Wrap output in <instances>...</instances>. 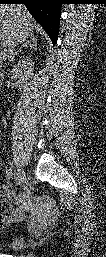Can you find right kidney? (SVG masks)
Listing matches in <instances>:
<instances>
[{
	"label": "right kidney",
	"instance_id": "ca27d5eb",
	"mask_svg": "<svg viewBox=\"0 0 106 257\" xmlns=\"http://www.w3.org/2000/svg\"><path fill=\"white\" fill-rule=\"evenodd\" d=\"M34 63L32 60L25 58L19 61L13 68V75L18 79V86H22V84L27 81L33 74Z\"/></svg>",
	"mask_w": 106,
	"mask_h": 257
}]
</instances>
